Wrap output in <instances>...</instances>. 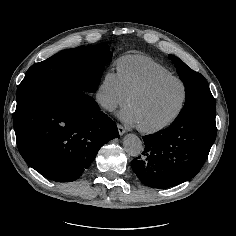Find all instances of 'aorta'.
Segmentation results:
<instances>
[{
	"instance_id": "obj_1",
	"label": "aorta",
	"mask_w": 236,
	"mask_h": 236,
	"mask_svg": "<svg viewBox=\"0 0 236 236\" xmlns=\"http://www.w3.org/2000/svg\"><path fill=\"white\" fill-rule=\"evenodd\" d=\"M125 152L133 157L139 156L143 151V145L140 138L135 134H127L123 139Z\"/></svg>"
}]
</instances>
